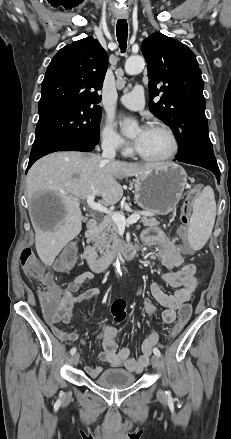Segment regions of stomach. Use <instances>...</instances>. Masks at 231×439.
<instances>
[{
	"instance_id": "obj_1",
	"label": "stomach",
	"mask_w": 231,
	"mask_h": 439,
	"mask_svg": "<svg viewBox=\"0 0 231 439\" xmlns=\"http://www.w3.org/2000/svg\"><path fill=\"white\" fill-rule=\"evenodd\" d=\"M186 184L185 170L177 164L165 163L136 177L135 203L148 212L167 215L175 210Z\"/></svg>"
}]
</instances>
